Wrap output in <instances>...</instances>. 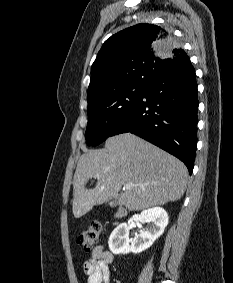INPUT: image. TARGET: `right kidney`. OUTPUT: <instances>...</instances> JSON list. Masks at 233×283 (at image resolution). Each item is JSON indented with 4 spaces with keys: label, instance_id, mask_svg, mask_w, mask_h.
I'll return each instance as SVG.
<instances>
[{
    "label": "right kidney",
    "instance_id": "ca27d5eb",
    "mask_svg": "<svg viewBox=\"0 0 233 283\" xmlns=\"http://www.w3.org/2000/svg\"><path fill=\"white\" fill-rule=\"evenodd\" d=\"M132 222H137L138 225L145 222L150 223V226L144 230H140L139 234L133 240H129V223H122L117 226L109 237V248L113 254L141 253L148 249L154 241L159 238L166 226L168 225V214L161 207H154L135 214L132 217Z\"/></svg>",
    "mask_w": 233,
    "mask_h": 283
}]
</instances>
